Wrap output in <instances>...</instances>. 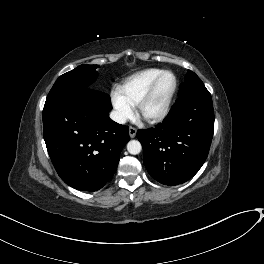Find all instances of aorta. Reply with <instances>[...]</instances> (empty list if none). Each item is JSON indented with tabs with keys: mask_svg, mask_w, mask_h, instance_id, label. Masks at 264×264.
Instances as JSON below:
<instances>
[{
	"mask_svg": "<svg viewBox=\"0 0 264 264\" xmlns=\"http://www.w3.org/2000/svg\"><path fill=\"white\" fill-rule=\"evenodd\" d=\"M141 149L142 146L138 140H130L127 144V150L132 155L139 154Z\"/></svg>",
	"mask_w": 264,
	"mask_h": 264,
	"instance_id": "aorta-1",
	"label": "aorta"
}]
</instances>
